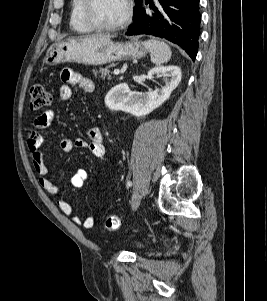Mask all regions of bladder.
<instances>
[{
	"mask_svg": "<svg viewBox=\"0 0 267 301\" xmlns=\"http://www.w3.org/2000/svg\"><path fill=\"white\" fill-rule=\"evenodd\" d=\"M130 246L134 251H140L145 248V243L140 240H131Z\"/></svg>",
	"mask_w": 267,
	"mask_h": 301,
	"instance_id": "31cf9c89",
	"label": "bladder"
}]
</instances>
